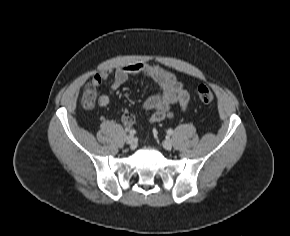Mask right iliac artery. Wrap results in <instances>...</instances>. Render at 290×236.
Listing matches in <instances>:
<instances>
[{"instance_id":"1","label":"right iliac artery","mask_w":290,"mask_h":236,"mask_svg":"<svg viewBox=\"0 0 290 236\" xmlns=\"http://www.w3.org/2000/svg\"><path fill=\"white\" fill-rule=\"evenodd\" d=\"M130 135H134L136 133V131L134 129L129 131Z\"/></svg>"}]
</instances>
